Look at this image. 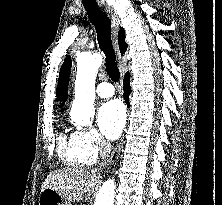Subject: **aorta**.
Listing matches in <instances>:
<instances>
[{
    "label": "aorta",
    "mask_w": 222,
    "mask_h": 205,
    "mask_svg": "<svg viewBox=\"0 0 222 205\" xmlns=\"http://www.w3.org/2000/svg\"><path fill=\"white\" fill-rule=\"evenodd\" d=\"M102 60L93 54L78 59L75 81V99L71 107V120L79 127L89 126L94 116L95 79ZM118 184L114 177L107 179L98 194L97 205H114Z\"/></svg>",
    "instance_id": "1"
}]
</instances>
